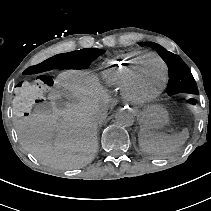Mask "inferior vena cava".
<instances>
[{
    "label": "inferior vena cava",
    "instance_id": "obj_1",
    "mask_svg": "<svg viewBox=\"0 0 211 211\" xmlns=\"http://www.w3.org/2000/svg\"><path fill=\"white\" fill-rule=\"evenodd\" d=\"M102 115H105V112H102Z\"/></svg>",
    "mask_w": 211,
    "mask_h": 211
}]
</instances>
